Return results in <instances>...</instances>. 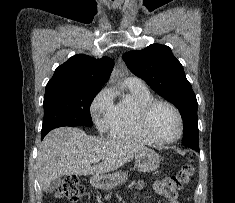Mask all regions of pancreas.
Returning a JSON list of instances; mask_svg holds the SVG:
<instances>
[{
  "label": "pancreas",
  "instance_id": "obj_1",
  "mask_svg": "<svg viewBox=\"0 0 235 203\" xmlns=\"http://www.w3.org/2000/svg\"><path fill=\"white\" fill-rule=\"evenodd\" d=\"M110 197V195H107V196H105V199H108Z\"/></svg>",
  "mask_w": 235,
  "mask_h": 203
}]
</instances>
